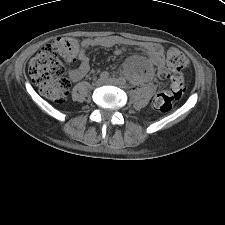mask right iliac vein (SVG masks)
<instances>
[{
	"mask_svg": "<svg viewBox=\"0 0 225 225\" xmlns=\"http://www.w3.org/2000/svg\"><path fill=\"white\" fill-rule=\"evenodd\" d=\"M95 84H96V86H101L102 84H104V80L100 78L96 81Z\"/></svg>",
	"mask_w": 225,
	"mask_h": 225,
	"instance_id": "right-iliac-vein-1",
	"label": "right iliac vein"
}]
</instances>
